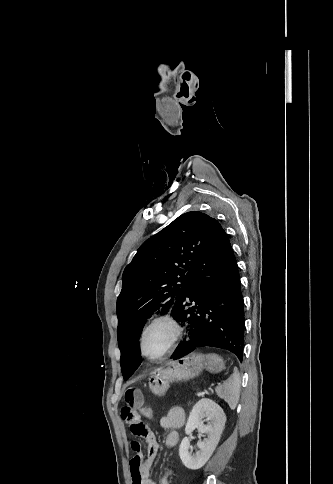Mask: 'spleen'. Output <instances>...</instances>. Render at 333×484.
Segmentation results:
<instances>
[{
  "label": "spleen",
  "instance_id": "obj_1",
  "mask_svg": "<svg viewBox=\"0 0 333 484\" xmlns=\"http://www.w3.org/2000/svg\"><path fill=\"white\" fill-rule=\"evenodd\" d=\"M217 395L222 398L234 410L237 406L240 396V376L237 368L222 385L216 387Z\"/></svg>",
  "mask_w": 333,
  "mask_h": 484
}]
</instances>
